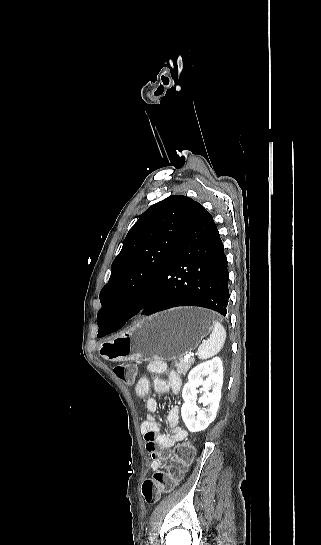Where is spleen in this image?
<instances>
[{"mask_svg": "<svg viewBox=\"0 0 321 545\" xmlns=\"http://www.w3.org/2000/svg\"><path fill=\"white\" fill-rule=\"evenodd\" d=\"M226 339V331L222 327L221 323L214 321L213 331L208 339L200 345L197 355L198 359H210V357H215L217 353H220Z\"/></svg>", "mask_w": 321, "mask_h": 545, "instance_id": "obj_1", "label": "spleen"}]
</instances>
